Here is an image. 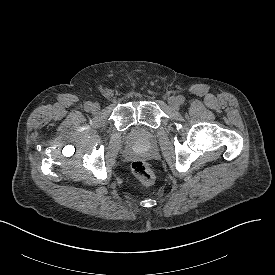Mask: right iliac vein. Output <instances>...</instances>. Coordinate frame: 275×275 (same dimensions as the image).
Instances as JSON below:
<instances>
[{
	"label": "right iliac vein",
	"mask_w": 275,
	"mask_h": 275,
	"mask_svg": "<svg viewBox=\"0 0 275 275\" xmlns=\"http://www.w3.org/2000/svg\"><path fill=\"white\" fill-rule=\"evenodd\" d=\"M100 110V105L98 103L91 104V111L93 113H98Z\"/></svg>",
	"instance_id": "obj_1"
}]
</instances>
